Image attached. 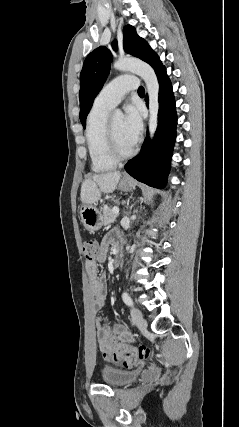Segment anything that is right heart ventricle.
Masks as SVG:
<instances>
[{
	"instance_id": "right-heart-ventricle-1",
	"label": "right heart ventricle",
	"mask_w": 239,
	"mask_h": 427,
	"mask_svg": "<svg viewBox=\"0 0 239 427\" xmlns=\"http://www.w3.org/2000/svg\"><path fill=\"white\" fill-rule=\"evenodd\" d=\"M111 108L93 105L86 122V142L95 172L112 169L116 162L108 155L106 148V124Z\"/></svg>"
}]
</instances>
